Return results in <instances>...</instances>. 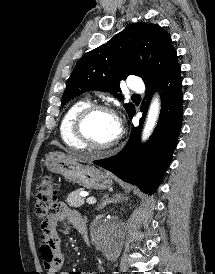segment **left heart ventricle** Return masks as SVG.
Returning <instances> with one entry per match:
<instances>
[{
  "mask_svg": "<svg viewBox=\"0 0 215 274\" xmlns=\"http://www.w3.org/2000/svg\"><path fill=\"white\" fill-rule=\"evenodd\" d=\"M86 130L89 137L97 144H107L119 133L117 119L106 112L95 113L88 120Z\"/></svg>",
  "mask_w": 215,
  "mask_h": 274,
  "instance_id": "b2bd125f",
  "label": "left heart ventricle"
}]
</instances>
